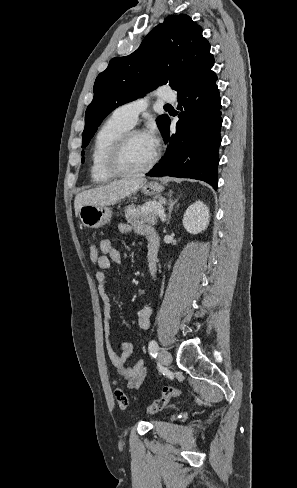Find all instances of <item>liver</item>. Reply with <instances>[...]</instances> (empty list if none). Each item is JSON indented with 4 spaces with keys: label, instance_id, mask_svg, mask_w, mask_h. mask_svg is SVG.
I'll return each mask as SVG.
<instances>
[{
    "label": "liver",
    "instance_id": "6515ba94",
    "mask_svg": "<svg viewBox=\"0 0 297 488\" xmlns=\"http://www.w3.org/2000/svg\"><path fill=\"white\" fill-rule=\"evenodd\" d=\"M146 183L141 176H130L107 185L86 190L75 197V212L78 213L83 205L109 206L119 200L137 192Z\"/></svg>",
    "mask_w": 297,
    "mask_h": 488
}]
</instances>
